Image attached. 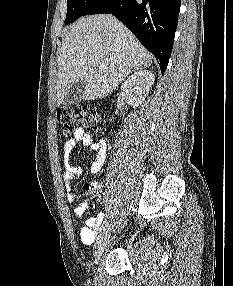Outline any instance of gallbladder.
Instances as JSON below:
<instances>
[{
	"label": "gallbladder",
	"instance_id": "gallbladder-1",
	"mask_svg": "<svg viewBox=\"0 0 233 286\" xmlns=\"http://www.w3.org/2000/svg\"><path fill=\"white\" fill-rule=\"evenodd\" d=\"M85 87L86 85L82 81L74 83L64 97V101L62 103L63 107L67 108L72 105L79 104L82 101V95Z\"/></svg>",
	"mask_w": 233,
	"mask_h": 286
}]
</instances>
